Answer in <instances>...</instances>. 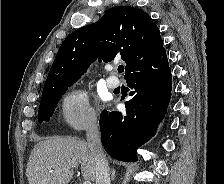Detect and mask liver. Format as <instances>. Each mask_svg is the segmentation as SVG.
Listing matches in <instances>:
<instances>
[{"label": "liver", "instance_id": "liver-1", "mask_svg": "<svg viewBox=\"0 0 224 184\" xmlns=\"http://www.w3.org/2000/svg\"><path fill=\"white\" fill-rule=\"evenodd\" d=\"M79 165L86 181L96 180L95 159L88 143L76 137L53 136L35 145L26 176L29 184H68Z\"/></svg>", "mask_w": 224, "mask_h": 184}]
</instances>
